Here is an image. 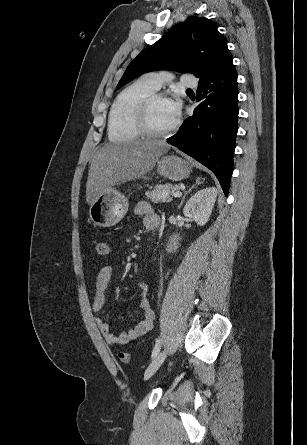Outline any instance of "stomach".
Segmentation results:
<instances>
[{
    "instance_id": "1",
    "label": "stomach",
    "mask_w": 307,
    "mask_h": 445,
    "mask_svg": "<svg viewBox=\"0 0 307 445\" xmlns=\"http://www.w3.org/2000/svg\"><path fill=\"white\" fill-rule=\"evenodd\" d=\"M159 174H164L171 180H182L187 178L191 172V164H188L179 156H162L157 160ZM129 208V200L125 194L112 186L111 190L99 194L94 202L90 204L89 214L94 225L111 229L124 218Z\"/></svg>"
}]
</instances>
